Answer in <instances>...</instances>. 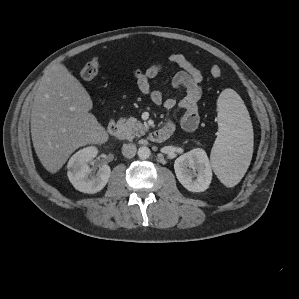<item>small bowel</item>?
I'll use <instances>...</instances> for the list:
<instances>
[{
	"label": "small bowel",
	"instance_id": "c3829d8e",
	"mask_svg": "<svg viewBox=\"0 0 299 299\" xmlns=\"http://www.w3.org/2000/svg\"><path fill=\"white\" fill-rule=\"evenodd\" d=\"M165 64L180 69L172 79L174 88L184 90V96L179 101L174 98L164 99L160 91L152 90L150 87V82L158 76ZM133 76L139 91L144 95H149L154 104L163 105L168 111L174 108H180L183 111L181 125L184 130L192 132L198 128L199 114L197 104L203 93V73L184 55L178 53L171 54L167 58L166 63L153 62L145 70L135 68ZM164 127L173 131L174 123L168 120Z\"/></svg>",
	"mask_w": 299,
	"mask_h": 299
}]
</instances>
